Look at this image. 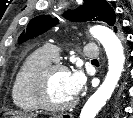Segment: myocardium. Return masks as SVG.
I'll return each instance as SVG.
<instances>
[{"label":"myocardium","instance_id":"1","mask_svg":"<svg viewBox=\"0 0 133 118\" xmlns=\"http://www.w3.org/2000/svg\"><path fill=\"white\" fill-rule=\"evenodd\" d=\"M68 71V68L59 62H52L44 67L33 81V95L40 108L50 112H65L73 108L77 102L76 98L71 101L57 105L53 104L48 98V83L50 76L55 70Z\"/></svg>","mask_w":133,"mask_h":118}]
</instances>
